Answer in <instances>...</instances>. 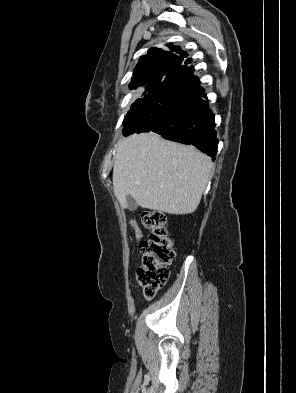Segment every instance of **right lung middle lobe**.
I'll return each mask as SVG.
<instances>
[{
	"mask_svg": "<svg viewBox=\"0 0 296 393\" xmlns=\"http://www.w3.org/2000/svg\"><path fill=\"white\" fill-rule=\"evenodd\" d=\"M163 80L164 79H157L147 83L146 90L149 92L142 99H138L132 104L131 109L123 122L124 126L137 117L145 105L152 99Z\"/></svg>",
	"mask_w": 296,
	"mask_h": 393,
	"instance_id": "right-lung-middle-lobe-1",
	"label": "right lung middle lobe"
}]
</instances>
